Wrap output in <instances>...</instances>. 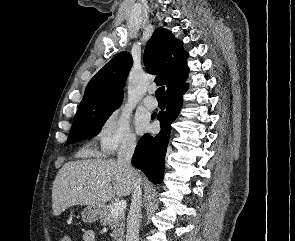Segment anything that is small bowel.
<instances>
[{
	"instance_id": "obj_1",
	"label": "small bowel",
	"mask_w": 295,
	"mask_h": 241,
	"mask_svg": "<svg viewBox=\"0 0 295 241\" xmlns=\"http://www.w3.org/2000/svg\"><path fill=\"white\" fill-rule=\"evenodd\" d=\"M96 234L93 230H85L82 235V241H95ZM60 241H72L69 237H62Z\"/></svg>"
}]
</instances>
